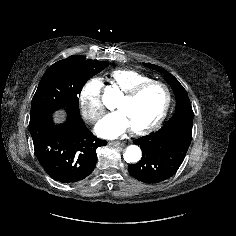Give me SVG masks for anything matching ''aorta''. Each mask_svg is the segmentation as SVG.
<instances>
[{
    "label": "aorta",
    "mask_w": 236,
    "mask_h": 236,
    "mask_svg": "<svg viewBox=\"0 0 236 236\" xmlns=\"http://www.w3.org/2000/svg\"><path fill=\"white\" fill-rule=\"evenodd\" d=\"M142 155L141 149L136 145H130L126 148L123 157L127 163H136Z\"/></svg>",
    "instance_id": "obj_1"
}]
</instances>
